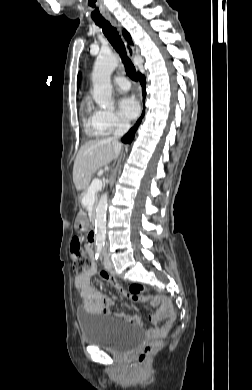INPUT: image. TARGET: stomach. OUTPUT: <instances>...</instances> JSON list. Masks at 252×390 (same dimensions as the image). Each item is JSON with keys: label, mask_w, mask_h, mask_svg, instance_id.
<instances>
[{"label": "stomach", "mask_w": 252, "mask_h": 390, "mask_svg": "<svg viewBox=\"0 0 252 390\" xmlns=\"http://www.w3.org/2000/svg\"><path fill=\"white\" fill-rule=\"evenodd\" d=\"M86 227V224H85V219L83 217H79L77 219V222H76V225H75V228L78 230V231H83Z\"/></svg>", "instance_id": "1"}]
</instances>
